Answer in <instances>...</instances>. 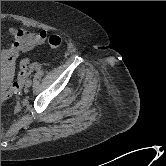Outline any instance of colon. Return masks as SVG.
<instances>
[{
  "label": "colon",
  "instance_id": "obj_1",
  "mask_svg": "<svg viewBox=\"0 0 166 166\" xmlns=\"http://www.w3.org/2000/svg\"><path fill=\"white\" fill-rule=\"evenodd\" d=\"M48 45L51 49L57 50L61 47L62 45V38L58 35H51L48 38ZM30 72V63L28 59H23L20 62L19 66V74H18V79L16 82L12 84L10 89L5 92L1 93V102L12 96L14 93L19 91L22 87V83L27 76V74Z\"/></svg>",
  "mask_w": 166,
  "mask_h": 166
}]
</instances>
